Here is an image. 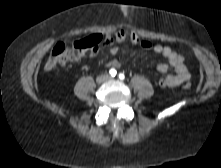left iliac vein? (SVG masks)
I'll return each mask as SVG.
<instances>
[{
  "instance_id": "left-iliac-vein-1",
  "label": "left iliac vein",
  "mask_w": 221,
  "mask_h": 168,
  "mask_svg": "<svg viewBox=\"0 0 221 168\" xmlns=\"http://www.w3.org/2000/svg\"><path fill=\"white\" fill-rule=\"evenodd\" d=\"M108 79H109V80H112L113 78H112V77H109Z\"/></svg>"
}]
</instances>
